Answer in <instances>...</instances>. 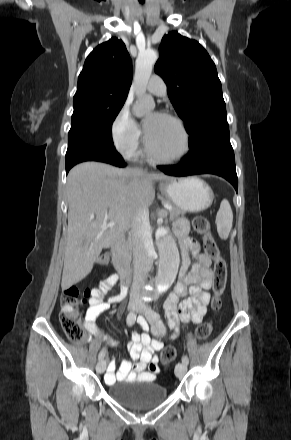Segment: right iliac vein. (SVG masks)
I'll use <instances>...</instances> for the list:
<instances>
[{
	"label": "right iliac vein",
	"mask_w": 291,
	"mask_h": 440,
	"mask_svg": "<svg viewBox=\"0 0 291 440\" xmlns=\"http://www.w3.org/2000/svg\"><path fill=\"white\" fill-rule=\"evenodd\" d=\"M139 309V304L137 301L135 300H130L129 304H128V310L130 311H137ZM106 369V361L101 359L97 365H96V370L98 373H103Z\"/></svg>",
	"instance_id": "right-iliac-vein-1"
}]
</instances>
